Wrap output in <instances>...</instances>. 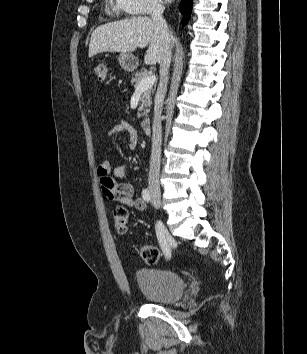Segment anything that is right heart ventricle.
<instances>
[{
    "label": "right heart ventricle",
    "instance_id": "obj_1",
    "mask_svg": "<svg viewBox=\"0 0 307 354\" xmlns=\"http://www.w3.org/2000/svg\"><path fill=\"white\" fill-rule=\"evenodd\" d=\"M113 11L114 12L125 11L118 0L115 1V5L113 7Z\"/></svg>",
    "mask_w": 307,
    "mask_h": 354
}]
</instances>
